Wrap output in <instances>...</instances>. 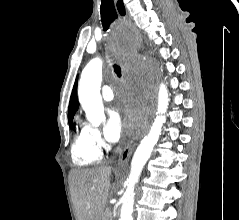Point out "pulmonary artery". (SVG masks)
I'll list each match as a JSON object with an SVG mask.
<instances>
[{
    "label": "pulmonary artery",
    "instance_id": "obj_1",
    "mask_svg": "<svg viewBox=\"0 0 239 220\" xmlns=\"http://www.w3.org/2000/svg\"><path fill=\"white\" fill-rule=\"evenodd\" d=\"M102 97L105 101H111L114 98V93L109 85H104L102 87Z\"/></svg>",
    "mask_w": 239,
    "mask_h": 220
}]
</instances>
